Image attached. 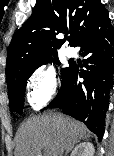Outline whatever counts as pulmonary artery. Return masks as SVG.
Masks as SVG:
<instances>
[{"label":"pulmonary artery","mask_w":114,"mask_h":156,"mask_svg":"<svg viewBox=\"0 0 114 156\" xmlns=\"http://www.w3.org/2000/svg\"><path fill=\"white\" fill-rule=\"evenodd\" d=\"M64 54L67 56V57H72L74 56L75 52L72 48L70 47H67L64 49Z\"/></svg>","instance_id":"obj_1"}]
</instances>
